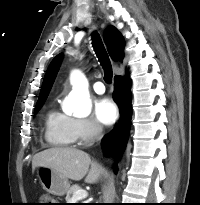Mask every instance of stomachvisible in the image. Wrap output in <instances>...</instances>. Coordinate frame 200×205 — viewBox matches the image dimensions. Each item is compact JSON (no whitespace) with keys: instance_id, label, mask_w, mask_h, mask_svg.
Wrapping results in <instances>:
<instances>
[{"instance_id":"obj_1","label":"stomach","mask_w":200,"mask_h":205,"mask_svg":"<svg viewBox=\"0 0 200 205\" xmlns=\"http://www.w3.org/2000/svg\"><path fill=\"white\" fill-rule=\"evenodd\" d=\"M37 177L43 189L53 195L63 196L69 190L68 178L52 168L39 166L37 168Z\"/></svg>"}]
</instances>
